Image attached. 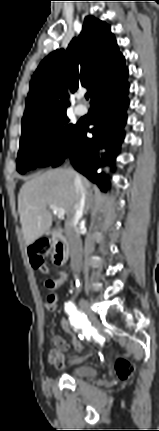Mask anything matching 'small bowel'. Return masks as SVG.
<instances>
[{
    "label": "small bowel",
    "instance_id": "small-bowel-1",
    "mask_svg": "<svg viewBox=\"0 0 159 431\" xmlns=\"http://www.w3.org/2000/svg\"><path fill=\"white\" fill-rule=\"evenodd\" d=\"M67 277L68 275L66 272H60L56 279L48 280L46 282V286L49 290H54L63 285L66 282ZM52 342L53 347L48 352V360L52 364L62 366L65 360V351L68 350L69 345L61 336L58 335L52 337Z\"/></svg>",
    "mask_w": 159,
    "mask_h": 431
}]
</instances>
